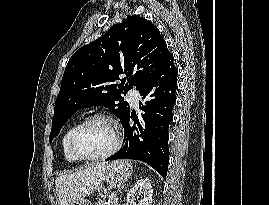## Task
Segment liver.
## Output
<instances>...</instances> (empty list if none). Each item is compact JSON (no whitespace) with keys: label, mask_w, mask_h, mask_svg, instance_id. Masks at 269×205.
<instances>
[{"label":"liver","mask_w":269,"mask_h":205,"mask_svg":"<svg viewBox=\"0 0 269 205\" xmlns=\"http://www.w3.org/2000/svg\"><path fill=\"white\" fill-rule=\"evenodd\" d=\"M107 163L90 164L88 167L56 179V191L61 205L93 193L104 180Z\"/></svg>","instance_id":"liver-1"}]
</instances>
